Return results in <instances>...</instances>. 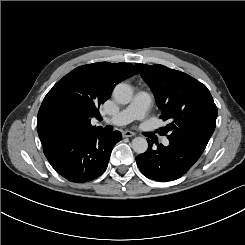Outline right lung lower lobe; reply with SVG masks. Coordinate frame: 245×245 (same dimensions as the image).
Listing matches in <instances>:
<instances>
[{
    "label": "right lung lower lobe",
    "mask_w": 245,
    "mask_h": 245,
    "mask_svg": "<svg viewBox=\"0 0 245 245\" xmlns=\"http://www.w3.org/2000/svg\"><path fill=\"white\" fill-rule=\"evenodd\" d=\"M121 139L118 131L95 129L55 139L43 146V151L57 173L69 181L85 183L104 173L111 151Z\"/></svg>",
    "instance_id": "obj_1"
}]
</instances>
